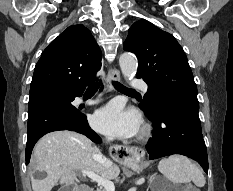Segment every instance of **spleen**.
Segmentation results:
<instances>
[{
    "instance_id": "3e777b00",
    "label": "spleen",
    "mask_w": 233,
    "mask_h": 191,
    "mask_svg": "<svg viewBox=\"0 0 233 191\" xmlns=\"http://www.w3.org/2000/svg\"><path fill=\"white\" fill-rule=\"evenodd\" d=\"M158 168L165 178L174 184L192 181L198 187L205 185L202 171L185 156L176 154L163 158L159 162Z\"/></svg>"
}]
</instances>
